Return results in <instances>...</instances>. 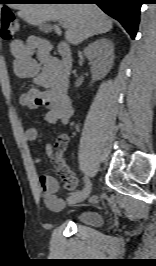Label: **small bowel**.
<instances>
[{
	"instance_id": "small-bowel-1",
	"label": "small bowel",
	"mask_w": 156,
	"mask_h": 266,
	"mask_svg": "<svg viewBox=\"0 0 156 266\" xmlns=\"http://www.w3.org/2000/svg\"><path fill=\"white\" fill-rule=\"evenodd\" d=\"M45 43L36 38H29L27 42L14 40L10 44L12 68L19 78H30L36 87L23 92L19 98L20 104L29 109L46 107L45 120L49 123H60L66 126L73 114V108L67 93V84L63 83L56 68V61L43 50ZM38 137V130L30 127L25 132V139L34 143ZM45 153L49 156L61 175L67 190H74L77 178L62 157V147L45 145ZM34 161L41 171L39 186L43 193L45 205L52 211H59L65 207V201L57 196L59 183L56 178L43 172L44 165L40 157ZM95 198H93V201Z\"/></svg>"
}]
</instances>
